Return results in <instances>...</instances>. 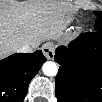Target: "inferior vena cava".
<instances>
[{
	"label": "inferior vena cava",
	"mask_w": 102,
	"mask_h": 102,
	"mask_svg": "<svg viewBox=\"0 0 102 102\" xmlns=\"http://www.w3.org/2000/svg\"><path fill=\"white\" fill-rule=\"evenodd\" d=\"M36 47H38L37 43L25 44V45L18 48V52H20V53H32Z\"/></svg>",
	"instance_id": "1"
}]
</instances>
